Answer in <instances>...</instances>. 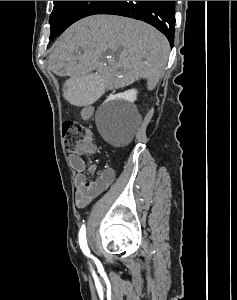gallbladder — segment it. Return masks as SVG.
<instances>
[{
    "label": "gallbladder",
    "mask_w": 237,
    "mask_h": 300,
    "mask_svg": "<svg viewBox=\"0 0 237 300\" xmlns=\"http://www.w3.org/2000/svg\"><path fill=\"white\" fill-rule=\"evenodd\" d=\"M65 82L64 98L68 105H94L100 94H105V77L98 72H89L88 76H68Z\"/></svg>",
    "instance_id": "obj_1"
}]
</instances>
